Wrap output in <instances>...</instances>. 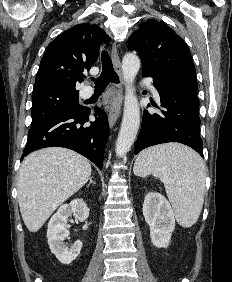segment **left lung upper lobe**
Masks as SVG:
<instances>
[{
	"mask_svg": "<svg viewBox=\"0 0 232 282\" xmlns=\"http://www.w3.org/2000/svg\"><path fill=\"white\" fill-rule=\"evenodd\" d=\"M128 49L138 52L142 74L196 81V71L187 45L163 22L154 19L142 22L140 29L128 40Z\"/></svg>",
	"mask_w": 232,
	"mask_h": 282,
	"instance_id": "obj_1",
	"label": "left lung upper lobe"
}]
</instances>
